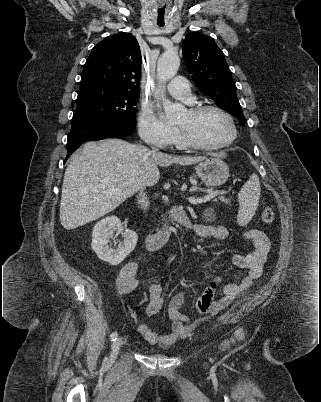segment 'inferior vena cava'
<instances>
[{
    "label": "inferior vena cava",
    "instance_id": "602c4592",
    "mask_svg": "<svg viewBox=\"0 0 321 402\" xmlns=\"http://www.w3.org/2000/svg\"><path fill=\"white\" fill-rule=\"evenodd\" d=\"M138 204L141 206L142 209L147 210L149 207V200L147 198L146 193L144 190H141L137 196Z\"/></svg>",
    "mask_w": 321,
    "mask_h": 402
}]
</instances>
